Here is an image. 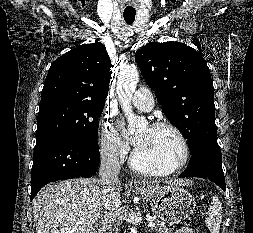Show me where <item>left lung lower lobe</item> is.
<instances>
[{
  "label": "left lung lower lobe",
  "mask_w": 253,
  "mask_h": 233,
  "mask_svg": "<svg viewBox=\"0 0 253 233\" xmlns=\"http://www.w3.org/2000/svg\"><path fill=\"white\" fill-rule=\"evenodd\" d=\"M179 177L209 179L226 190L220 148L208 145L201 146L191 155L187 168Z\"/></svg>",
  "instance_id": "1"
}]
</instances>
